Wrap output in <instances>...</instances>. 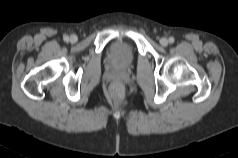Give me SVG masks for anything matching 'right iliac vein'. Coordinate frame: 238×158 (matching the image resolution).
Masks as SVG:
<instances>
[{
    "label": "right iliac vein",
    "mask_w": 238,
    "mask_h": 158,
    "mask_svg": "<svg viewBox=\"0 0 238 158\" xmlns=\"http://www.w3.org/2000/svg\"><path fill=\"white\" fill-rule=\"evenodd\" d=\"M76 41H77V36L72 35V36L70 37V42L74 43V42H76Z\"/></svg>",
    "instance_id": "right-iliac-vein-1"
}]
</instances>
